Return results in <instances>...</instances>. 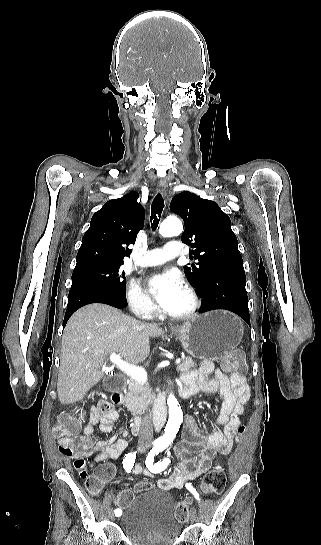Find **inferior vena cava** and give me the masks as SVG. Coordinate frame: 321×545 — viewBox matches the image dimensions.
<instances>
[{
  "mask_svg": "<svg viewBox=\"0 0 321 545\" xmlns=\"http://www.w3.org/2000/svg\"><path fill=\"white\" fill-rule=\"evenodd\" d=\"M153 423L151 415H145L141 421L139 439H138V448L139 449H149L150 443L153 441Z\"/></svg>",
  "mask_w": 321,
  "mask_h": 545,
  "instance_id": "602c4592",
  "label": "inferior vena cava"
}]
</instances>
